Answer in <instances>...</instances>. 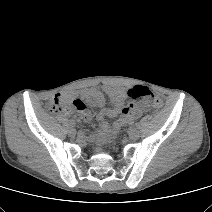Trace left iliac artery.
<instances>
[{"mask_svg":"<svg viewBox=\"0 0 212 212\" xmlns=\"http://www.w3.org/2000/svg\"><path fill=\"white\" fill-rule=\"evenodd\" d=\"M135 127H136L137 129H139V128H140V124H139V123H136V124H135Z\"/></svg>","mask_w":212,"mask_h":212,"instance_id":"obj_1","label":"left iliac artery"}]
</instances>
